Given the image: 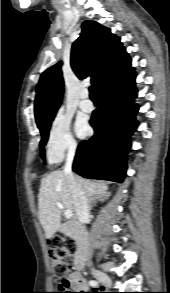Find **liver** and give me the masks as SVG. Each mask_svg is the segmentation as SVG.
<instances>
[{"label":"liver","mask_w":170,"mask_h":293,"mask_svg":"<svg viewBox=\"0 0 170 293\" xmlns=\"http://www.w3.org/2000/svg\"><path fill=\"white\" fill-rule=\"evenodd\" d=\"M79 188L88 196H100L107 193L104 183L75 177ZM61 203L66 210L76 215L73 194L64 171L56 170L41 180L38 197L39 221L44 228L45 237L51 238L60 228L61 213L56 203Z\"/></svg>","instance_id":"obj_1"}]
</instances>
